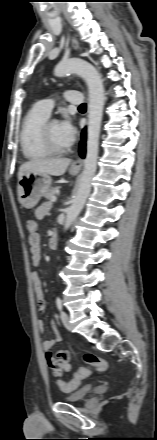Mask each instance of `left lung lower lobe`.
<instances>
[{
    "label": "left lung lower lobe",
    "instance_id": "obj_1",
    "mask_svg": "<svg viewBox=\"0 0 157 440\" xmlns=\"http://www.w3.org/2000/svg\"><path fill=\"white\" fill-rule=\"evenodd\" d=\"M86 153V128L81 132V142L79 144V154L82 158L85 157Z\"/></svg>",
    "mask_w": 157,
    "mask_h": 440
}]
</instances>
